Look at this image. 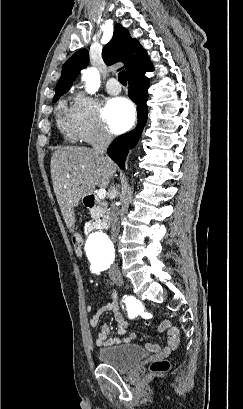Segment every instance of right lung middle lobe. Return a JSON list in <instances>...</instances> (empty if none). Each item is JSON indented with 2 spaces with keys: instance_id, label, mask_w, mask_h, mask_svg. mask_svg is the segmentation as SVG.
I'll return each mask as SVG.
<instances>
[{
  "instance_id": "right-lung-middle-lobe-1",
  "label": "right lung middle lobe",
  "mask_w": 243,
  "mask_h": 409,
  "mask_svg": "<svg viewBox=\"0 0 243 409\" xmlns=\"http://www.w3.org/2000/svg\"><path fill=\"white\" fill-rule=\"evenodd\" d=\"M64 93H60V94H56L55 96H54V102H56L58 99H59V97L61 96V95H63Z\"/></svg>"
}]
</instances>
